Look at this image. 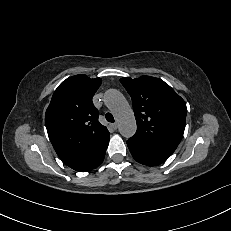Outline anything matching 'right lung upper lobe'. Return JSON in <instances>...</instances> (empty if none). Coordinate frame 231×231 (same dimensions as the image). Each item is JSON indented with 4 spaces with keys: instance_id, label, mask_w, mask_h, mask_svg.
<instances>
[{
    "instance_id": "cb5924a9",
    "label": "right lung upper lobe",
    "mask_w": 231,
    "mask_h": 231,
    "mask_svg": "<svg viewBox=\"0 0 231 231\" xmlns=\"http://www.w3.org/2000/svg\"><path fill=\"white\" fill-rule=\"evenodd\" d=\"M101 79L75 75L55 90L46 110L50 141L60 159L77 171H89L106 150L110 133L98 121L92 97Z\"/></svg>"
}]
</instances>
